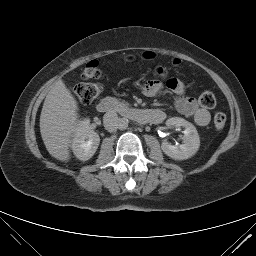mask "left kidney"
<instances>
[{"instance_id": "left-kidney-1", "label": "left kidney", "mask_w": 256, "mask_h": 256, "mask_svg": "<svg viewBox=\"0 0 256 256\" xmlns=\"http://www.w3.org/2000/svg\"><path fill=\"white\" fill-rule=\"evenodd\" d=\"M166 125L168 127H183L185 129L183 144L174 146L168 142H163L161 145L163 152L174 160H185L195 155L200 146V139L195 126L180 117L169 118L166 121Z\"/></svg>"}]
</instances>
